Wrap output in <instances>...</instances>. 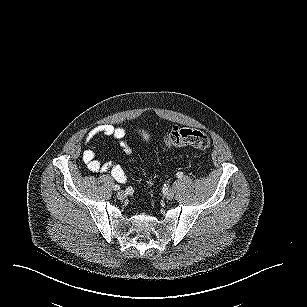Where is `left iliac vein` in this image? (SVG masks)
<instances>
[{
	"instance_id": "left-iliac-vein-1",
	"label": "left iliac vein",
	"mask_w": 307,
	"mask_h": 307,
	"mask_svg": "<svg viewBox=\"0 0 307 307\" xmlns=\"http://www.w3.org/2000/svg\"><path fill=\"white\" fill-rule=\"evenodd\" d=\"M174 195H175L174 191L173 190H169V191L166 192L165 197L168 200H172L174 198Z\"/></svg>"
}]
</instances>
